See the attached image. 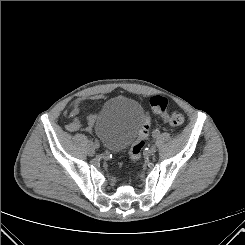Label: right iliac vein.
<instances>
[{"mask_svg": "<svg viewBox=\"0 0 245 245\" xmlns=\"http://www.w3.org/2000/svg\"><path fill=\"white\" fill-rule=\"evenodd\" d=\"M94 143L95 142H91V140L89 141V144H88V154L90 156H93L95 154V148H94Z\"/></svg>", "mask_w": 245, "mask_h": 245, "instance_id": "63e3f726", "label": "right iliac vein"}]
</instances>
